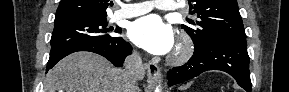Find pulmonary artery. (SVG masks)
<instances>
[{
  "label": "pulmonary artery",
  "instance_id": "e3ab8cb5",
  "mask_svg": "<svg viewBox=\"0 0 289 92\" xmlns=\"http://www.w3.org/2000/svg\"><path fill=\"white\" fill-rule=\"evenodd\" d=\"M154 7L166 11H174L178 9V6L173 1L169 0L144 1L130 5H123L122 8L113 15V20L116 21L137 17L150 12Z\"/></svg>",
  "mask_w": 289,
  "mask_h": 92
}]
</instances>
